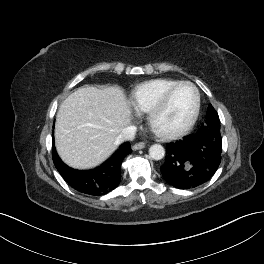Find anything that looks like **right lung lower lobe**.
<instances>
[{"instance_id": "98d812e1", "label": "right lung lower lobe", "mask_w": 264, "mask_h": 264, "mask_svg": "<svg viewBox=\"0 0 264 264\" xmlns=\"http://www.w3.org/2000/svg\"><path fill=\"white\" fill-rule=\"evenodd\" d=\"M52 152L53 162L58 172L71 187L81 193L100 196L118 186L121 178V164L132 149L130 143L126 142L101 166L92 170H75L67 166L58 156L54 147L53 131Z\"/></svg>"}]
</instances>
